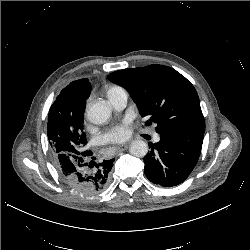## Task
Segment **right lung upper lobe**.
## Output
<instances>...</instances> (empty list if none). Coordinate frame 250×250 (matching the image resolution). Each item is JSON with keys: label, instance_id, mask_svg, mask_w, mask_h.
<instances>
[{"label": "right lung upper lobe", "instance_id": "obj_1", "mask_svg": "<svg viewBox=\"0 0 250 250\" xmlns=\"http://www.w3.org/2000/svg\"><path fill=\"white\" fill-rule=\"evenodd\" d=\"M91 92V85L87 78L71 82L57 96L50 108L49 115L57 112L58 120L72 122L83 117L86 99Z\"/></svg>", "mask_w": 250, "mask_h": 250}]
</instances>
